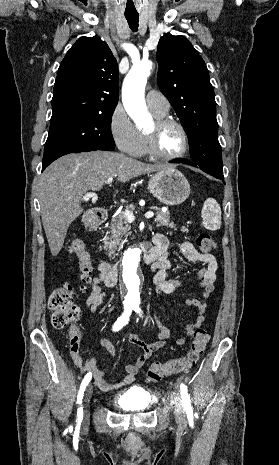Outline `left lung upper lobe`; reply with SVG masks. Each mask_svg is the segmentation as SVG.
<instances>
[{
	"mask_svg": "<svg viewBox=\"0 0 279 465\" xmlns=\"http://www.w3.org/2000/svg\"><path fill=\"white\" fill-rule=\"evenodd\" d=\"M157 60L159 88L184 126L193 163L224 177L216 102L205 62L187 38L171 34L161 37Z\"/></svg>",
	"mask_w": 279,
	"mask_h": 465,
	"instance_id": "5c2ea615",
	"label": "left lung upper lobe"
}]
</instances>
